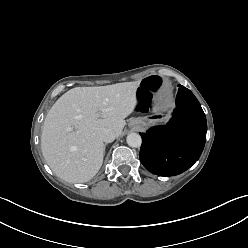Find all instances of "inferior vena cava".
Instances as JSON below:
<instances>
[{
  "mask_svg": "<svg viewBox=\"0 0 248 248\" xmlns=\"http://www.w3.org/2000/svg\"><path fill=\"white\" fill-rule=\"evenodd\" d=\"M99 137L103 142L111 143L115 140L117 135L113 130L106 128L100 132Z\"/></svg>",
  "mask_w": 248,
  "mask_h": 248,
  "instance_id": "inferior-vena-cava-1",
  "label": "inferior vena cava"
}]
</instances>
